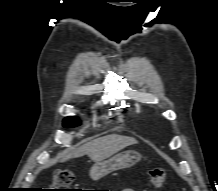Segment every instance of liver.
I'll list each match as a JSON object with an SVG mask.
<instances>
[{
	"label": "liver",
	"mask_w": 218,
	"mask_h": 191,
	"mask_svg": "<svg viewBox=\"0 0 218 191\" xmlns=\"http://www.w3.org/2000/svg\"><path fill=\"white\" fill-rule=\"evenodd\" d=\"M137 143L138 141L135 138L110 134L84 144L73 152L65 155L61 162L71 158L81 157L86 154L93 162L97 163L109 158L120 150Z\"/></svg>",
	"instance_id": "1"
}]
</instances>
